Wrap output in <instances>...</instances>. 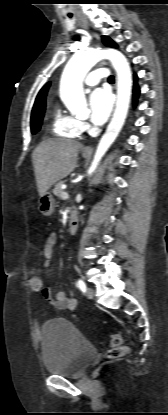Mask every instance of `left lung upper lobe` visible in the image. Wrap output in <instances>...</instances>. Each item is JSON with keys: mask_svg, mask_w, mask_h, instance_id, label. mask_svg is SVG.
I'll return each instance as SVG.
<instances>
[{"mask_svg": "<svg viewBox=\"0 0 168 415\" xmlns=\"http://www.w3.org/2000/svg\"><path fill=\"white\" fill-rule=\"evenodd\" d=\"M102 40H103V43L108 47H113V48L117 47V44L107 36H103Z\"/></svg>", "mask_w": 168, "mask_h": 415, "instance_id": "1", "label": "left lung upper lobe"}]
</instances>
